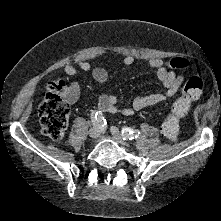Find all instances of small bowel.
Returning a JSON list of instances; mask_svg holds the SVG:
<instances>
[{
  "instance_id": "c3829d8e",
  "label": "small bowel",
  "mask_w": 221,
  "mask_h": 221,
  "mask_svg": "<svg viewBox=\"0 0 221 221\" xmlns=\"http://www.w3.org/2000/svg\"><path fill=\"white\" fill-rule=\"evenodd\" d=\"M134 61L135 57L133 55H126L123 59L124 65H131ZM78 66L84 71H90L93 79L98 83H104L108 79V73L106 69L102 67L93 66L88 61H80ZM148 67L156 71L157 79L164 88L163 92L138 96L133 100L131 106L126 107H120L118 105V100L114 95L102 94L98 99V109L104 113L115 114L121 112L126 116H131L135 112L144 108L161 104L174 97L179 92L184 83V76L166 68L164 61L159 58L149 59ZM64 72L69 76H73L76 73V68L71 64H67L64 67ZM78 92L79 84L76 82L72 83L70 87V101L76 99Z\"/></svg>"
}]
</instances>
